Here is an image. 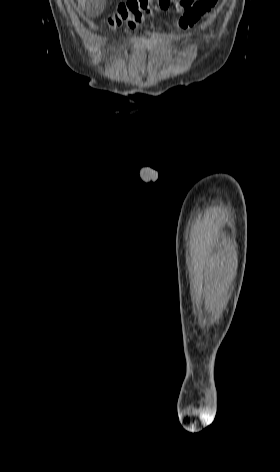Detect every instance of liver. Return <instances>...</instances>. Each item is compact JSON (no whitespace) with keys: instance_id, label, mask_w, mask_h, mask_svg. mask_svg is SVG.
<instances>
[{"instance_id":"liver-1","label":"liver","mask_w":280,"mask_h":472,"mask_svg":"<svg viewBox=\"0 0 280 472\" xmlns=\"http://www.w3.org/2000/svg\"><path fill=\"white\" fill-rule=\"evenodd\" d=\"M79 5L81 6L82 9H85L86 6V0H78Z\"/></svg>"}]
</instances>
